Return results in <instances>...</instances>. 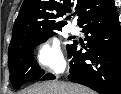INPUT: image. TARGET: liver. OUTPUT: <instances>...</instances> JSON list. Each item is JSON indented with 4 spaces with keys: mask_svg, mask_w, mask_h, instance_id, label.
<instances>
[{
    "mask_svg": "<svg viewBox=\"0 0 121 94\" xmlns=\"http://www.w3.org/2000/svg\"><path fill=\"white\" fill-rule=\"evenodd\" d=\"M19 94H96L85 86L70 82L48 81L34 84Z\"/></svg>",
    "mask_w": 121,
    "mask_h": 94,
    "instance_id": "obj_1",
    "label": "liver"
}]
</instances>
